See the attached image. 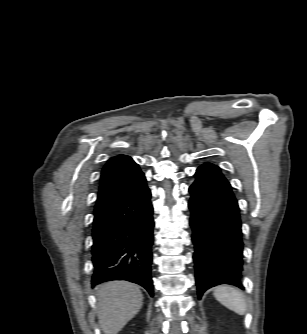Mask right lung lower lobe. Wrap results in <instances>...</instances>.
Listing matches in <instances>:
<instances>
[{"label":"right lung lower lobe","instance_id":"98d812e1","mask_svg":"<svg viewBox=\"0 0 307 334\" xmlns=\"http://www.w3.org/2000/svg\"><path fill=\"white\" fill-rule=\"evenodd\" d=\"M144 174L97 201L93 222L92 284L127 280L153 296L151 246L153 208Z\"/></svg>","mask_w":307,"mask_h":334}]
</instances>
